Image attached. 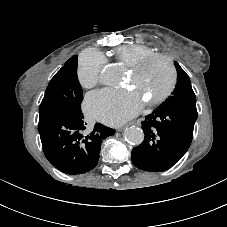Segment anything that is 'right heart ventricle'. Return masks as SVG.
<instances>
[{
    "instance_id": "e07e8e85",
    "label": "right heart ventricle",
    "mask_w": 227,
    "mask_h": 227,
    "mask_svg": "<svg viewBox=\"0 0 227 227\" xmlns=\"http://www.w3.org/2000/svg\"><path fill=\"white\" fill-rule=\"evenodd\" d=\"M155 50L145 45L126 44L113 50V55L117 61L130 67L140 59L155 54Z\"/></svg>"
}]
</instances>
